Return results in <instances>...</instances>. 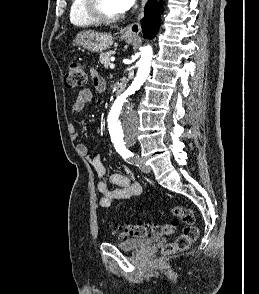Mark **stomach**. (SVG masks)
<instances>
[{"label":"stomach","instance_id":"1","mask_svg":"<svg viewBox=\"0 0 259 294\" xmlns=\"http://www.w3.org/2000/svg\"><path fill=\"white\" fill-rule=\"evenodd\" d=\"M121 39L132 42L135 36L121 33ZM74 43L91 52H103L109 49L114 43V37L110 33H98L94 31H82L77 34Z\"/></svg>","mask_w":259,"mask_h":294}]
</instances>
